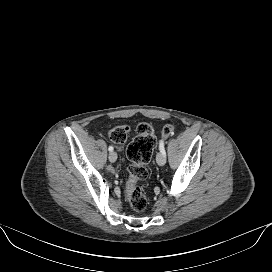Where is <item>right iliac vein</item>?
<instances>
[{"label": "right iliac vein", "instance_id": "obj_1", "mask_svg": "<svg viewBox=\"0 0 272 272\" xmlns=\"http://www.w3.org/2000/svg\"><path fill=\"white\" fill-rule=\"evenodd\" d=\"M117 160V153L116 152H110L109 154V161L110 162H115Z\"/></svg>", "mask_w": 272, "mask_h": 272}]
</instances>
